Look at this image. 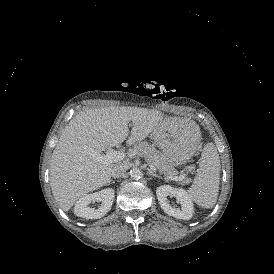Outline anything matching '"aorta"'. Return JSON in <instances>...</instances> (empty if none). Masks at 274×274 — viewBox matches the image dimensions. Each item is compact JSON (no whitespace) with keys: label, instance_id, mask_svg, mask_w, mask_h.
Here are the masks:
<instances>
[{"label":"aorta","instance_id":"obj_1","mask_svg":"<svg viewBox=\"0 0 274 274\" xmlns=\"http://www.w3.org/2000/svg\"><path fill=\"white\" fill-rule=\"evenodd\" d=\"M130 176L134 180H139L143 177V172L139 168L135 167L130 170Z\"/></svg>","mask_w":274,"mask_h":274}]
</instances>
